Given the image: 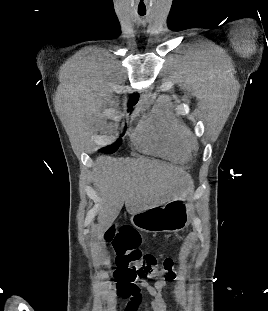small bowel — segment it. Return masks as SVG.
<instances>
[{
  "mask_svg": "<svg viewBox=\"0 0 268 311\" xmlns=\"http://www.w3.org/2000/svg\"><path fill=\"white\" fill-rule=\"evenodd\" d=\"M173 281L171 279L162 278L157 280L154 284L149 283L148 281L141 279L138 282H135L137 291L131 294L130 296L124 297L120 295L117 287V294L120 297L128 298L129 302L126 306L125 311H140L141 305L143 302L142 291H144L149 296V304L153 311H166V303L163 298V290ZM113 302H109L107 307H112Z\"/></svg>",
  "mask_w": 268,
  "mask_h": 311,
  "instance_id": "obj_1",
  "label": "small bowel"
}]
</instances>
